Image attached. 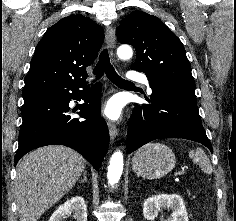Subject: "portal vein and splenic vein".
<instances>
[{
    "label": "portal vein and splenic vein",
    "instance_id": "1",
    "mask_svg": "<svg viewBox=\"0 0 236 221\" xmlns=\"http://www.w3.org/2000/svg\"><path fill=\"white\" fill-rule=\"evenodd\" d=\"M184 173H185V171H184V170H182V171L178 172V173L176 174V176L183 175Z\"/></svg>",
    "mask_w": 236,
    "mask_h": 221
}]
</instances>
